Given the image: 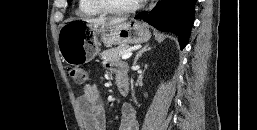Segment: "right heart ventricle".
Masks as SVG:
<instances>
[{
	"label": "right heart ventricle",
	"mask_w": 257,
	"mask_h": 130,
	"mask_svg": "<svg viewBox=\"0 0 257 130\" xmlns=\"http://www.w3.org/2000/svg\"><path fill=\"white\" fill-rule=\"evenodd\" d=\"M76 12L80 16H96L101 13L91 4L90 0H78Z\"/></svg>",
	"instance_id": "right-heart-ventricle-1"
}]
</instances>
